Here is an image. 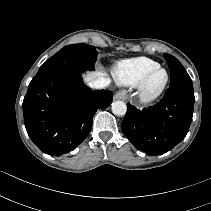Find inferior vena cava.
I'll use <instances>...</instances> for the list:
<instances>
[{
	"mask_svg": "<svg viewBox=\"0 0 211 211\" xmlns=\"http://www.w3.org/2000/svg\"><path fill=\"white\" fill-rule=\"evenodd\" d=\"M109 85V80L105 77H98L89 83V86L94 89H103Z\"/></svg>",
	"mask_w": 211,
	"mask_h": 211,
	"instance_id": "602c4592",
	"label": "inferior vena cava"
}]
</instances>
